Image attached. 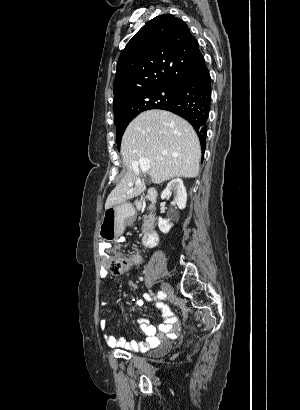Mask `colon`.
I'll return each instance as SVG.
<instances>
[{"label":"colon","instance_id":"obj_1","mask_svg":"<svg viewBox=\"0 0 300 410\" xmlns=\"http://www.w3.org/2000/svg\"><path fill=\"white\" fill-rule=\"evenodd\" d=\"M140 261L141 257L136 253L127 256L104 254L100 257L102 268L115 274L127 272L132 266L139 264Z\"/></svg>","mask_w":300,"mask_h":410}]
</instances>
